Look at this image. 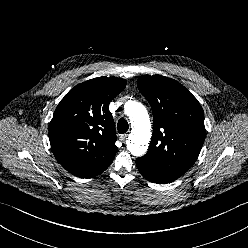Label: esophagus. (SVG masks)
<instances>
[{
	"label": "esophagus",
	"instance_id": "1",
	"mask_svg": "<svg viewBox=\"0 0 248 248\" xmlns=\"http://www.w3.org/2000/svg\"><path fill=\"white\" fill-rule=\"evenodd\" d=\"M127 137H128L127 133L122 134V135H120V140L125 141L127 139Z\"/></svg>",
	"mask_w": 248,
	"mask_h": 248
}]
</instances>
